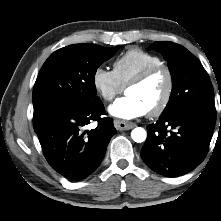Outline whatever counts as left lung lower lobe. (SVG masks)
I'll list each match as a JSON object with an SVG mask.
<instances>
[{
	"label": "left lung lower lobe",
	"mask_w": 221,
	"mask_h": 221,
	"mask_svg": "<svg viewBox=\"0 0 221 221\" xmlns=\"http://www.w3.org/2000/svg\"><path fill=\"white\" fill-rule=\"evenodd\" d=\"M214 124L215 119L192 110L160 116L155 124L147 126L141 157L158 174L169 177L186 174L206 157Z\"/></svg>",
	"instance_id": "1"
}]
</instances>
